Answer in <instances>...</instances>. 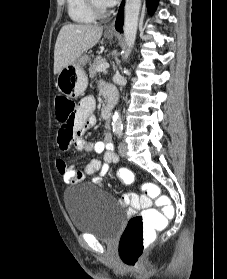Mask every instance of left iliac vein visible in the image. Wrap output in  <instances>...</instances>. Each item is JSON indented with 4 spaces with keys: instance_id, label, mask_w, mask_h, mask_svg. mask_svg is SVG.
<instances>
[{
    "instance_id": "1",
    "label": "left iliac vein",
    "mask_w": 227,
    "mask_h": 279,
    "mask_svg": "<svg viewBox=\"0 0 227 279\" xmlns=\"http://www.w3.org/2000/svg\"><path fill=\"white\" fill-rule=\"evenodd\" d=\"M128 147L124 142L119 143V154L122 157H125L127 155Z\"/></svg>"
}]
</instances>
